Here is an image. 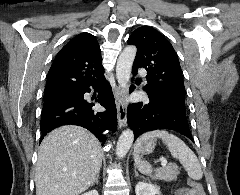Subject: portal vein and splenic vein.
I'll use <instances>...</instances> for the list:
<instances>
[{
  "instance_id": "obj_1",
  "label": "portal vein and splenic vein",
  "mask_w": 240,
  "mask_h": 195,
  "mask_svg": "<svg viewBox=\"0 0 240 195\" xmlns=\"http://www.w3.org/2000/svg\"><path fill=\"white\" fill-rule=\"evenodd\" d=\"M160 163H161V165H166V163H168V161H167V159H164V157H163V159H160Z\"/></svg>"
}]
</instances>
